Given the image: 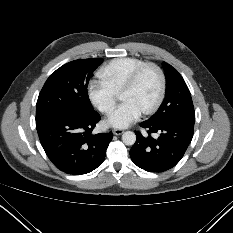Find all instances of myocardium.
I'll return each instance as SVG.
<instances>
[{"mask_svg":"<svg viewBox=\"0 0 233 233\" xmlns=\"http://www.w3.org/2000/svg\"><path fill=\"white\" fill-rule=\"evenodd\" d=\"M149 69L156 71V73L158 74L160 81V88L156 101L149 108L143 111V113L147 115L156 112L164 101L166 95V89H167V80L163 69L157 64L152 62L144 63L131 74V76L128 78V80L126 81V83L122 88L123 91L125 89H130L135 87L140 81L142 75Z\"/></svg>","mask_w":233,"mask_h":233,"instance_id":"f54148a6","label":"myocardium"}]
</instances>
